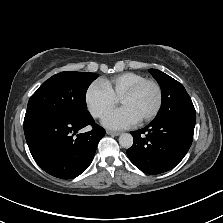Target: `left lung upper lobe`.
I'll list each match as a JSON object with an SVG mask.
<instances>
[{
  "label": "left lung upper lobe",
  "instance_id": "obj_1",
  "mask_svg": "<svg viewBox=\"0 0 223 223\" xmlns=\"http://www.w3.org/2000/svg\"><path fill=\"white\" fill-rule=\"evenodd\" d=\"M149 72L159 83L162 90L161 108L153 121L184 119L196 121V112L190 96L181 83L169 75L156 70Z\"/></svg>",
  "mask_w": 223,
  "mask_h": 223
}]
</instances>
